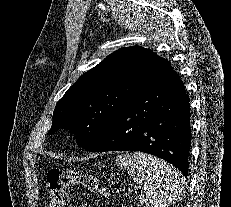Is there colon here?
<instances>
[{
	"instance_id": "colon-1",
	"label": "colon",
	"mask_w": 231,
	"mask_h": 207,
	"mask_svg": "<svg viewBox=\"0 0 231 207\" xmlns=\"http://www.w3.org/2000/svg\"><path fill=\"white\" fill-rule=\"evenodd\" d=\"M46 180L49 189L48 207H64L67 202V191L76 186H83L87 191L101 196L107 195L96 177L73 170L51 168L46 174Z\"/></svg>"
}]
</instances>
